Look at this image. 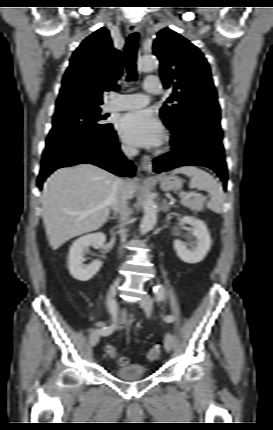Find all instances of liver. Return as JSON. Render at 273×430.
Wrapping results in <instances>:
<instances>
[{"mask_svg": "<svg viewBox=\"0 0 273 430\" xmlns=\"http://www.w3.org/2000/svg\"><path fill=\"white\" fill-rule=\"evenodd\" d=\"M115 176L90 164L56 170L44 184L41 197L43 223L53 250L66 241L101 228L109 217V195ZM128 199L136 192L133 180H125Z\"/></svg>", "mask_w": 273, "mask_h": 430, "instance_id": "obj_1", "label": "liver"}]
</instances>
